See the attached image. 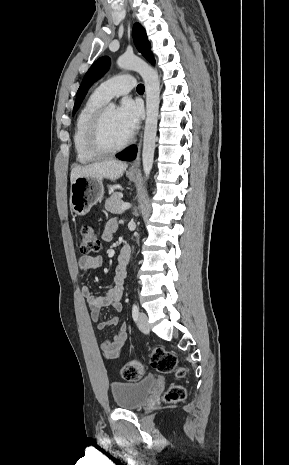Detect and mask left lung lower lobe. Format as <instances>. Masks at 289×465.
I'll list each match as a JSON object with an SVG mask.
<instances>
[{
	"mask_svg": "<svg viewBox=\"0 0 289 465\" xmlns=\"http://www.w3.org/2000/svg\"><path fill=\"white\" fill-rule=\"evenodd\" d=\"M136 152H137V147L134 146L128 150H125V151H122L120 153H118L116 155L117 158L119 159H122V160H126V161H130V160H133L136 156Z\"/></svg>",
	"mask_w": 289,
	"mask_h": 465,
	"instance_id": "0a47b994",
	"label": "left lung lower lobe"
}]
</instances>
